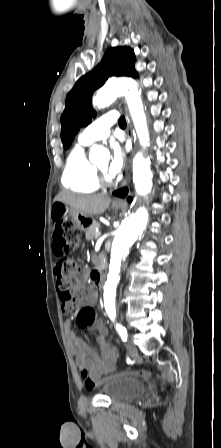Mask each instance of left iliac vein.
I'll list each match as a JSON object with an SVG mask.
<instances>
[{"label": "left iliac vein", "mask_w": 221, "mask_h": 448, "mask_svg": "<svg viewBox=\"0 0 221 448\" xmlns=\"http://www.w3.org/2000/svg\"><path fill=\"white\" fill-rule=\"evenodd\" d=\"M127 347L131 354L137 353V348H136L132 338L129 339V341L127 343Z\"/></svg>", "instance_id": "obj_1"}]
</instances>
